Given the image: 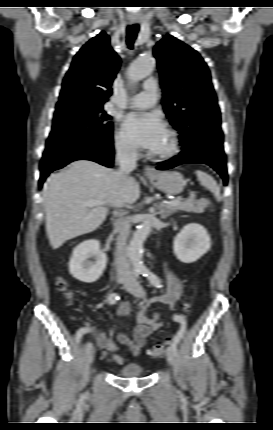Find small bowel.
<instances>
[{"label":"small bowel","instance_id":"c3829d8e","mask_svg":"<svg viewBox=\"0 0 273 430\" xmlns=\"http://www.w3.org/2000/svg\"><path fill=\"white\" fill-rule=\"evenodd\" d=\"M183 287L180 279L173 273L170 272L167 278L166 291L157 297L152 299L153 302H159L164 304L173 305L182 296ZM118 315L122 317H127L131 312V305L129 303H120L117 309ZM178 323L184 324L185 319L183 316L178 315ZM162 327V322L159 314L155 313L150 317H146L143 314L139 317V323L134 328L132 338L127 336L124 332L117 333V340L130 350V352L137 356L140 354L142 348L146 343V339L151 336L155 331L160 330ZM96 330L91 326L81 327L77 333L86 335L88 333L95 332ZM98 347L102 351L104 356L109 353L117 355L119 352L118 346L113 340V332L110 331L108 334H101L98 339Z\"/></svg>","mask_w":273,"mask_h":430}]
</instances>
